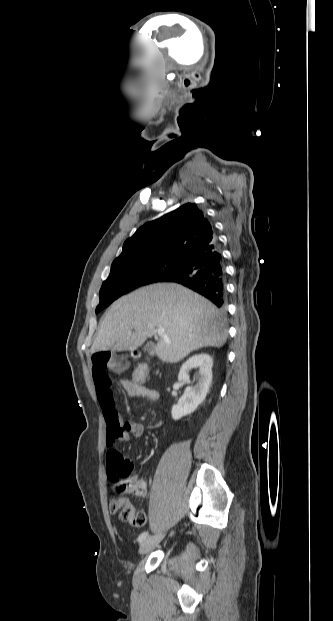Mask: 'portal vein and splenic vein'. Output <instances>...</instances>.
<instances>
[{
  "label": "portal vein and splenic vein",
  "instance_id": "obj_1",
  "mask_svg": "<svg viewBox=\"0 0 333 621\" xmlns=\"http://www.w3.org/2000/svg\"><path fill=\"white\" fill-rule=\"evenodd\" d=\"M157 334H158V336L162 337L164 340H166V341L169 340L167 335L165 334V330L163 328L158 329L157 330Z\"/></svg>",
  "mask_w": 333,
  "mask_h": 621
}]
</instances>
